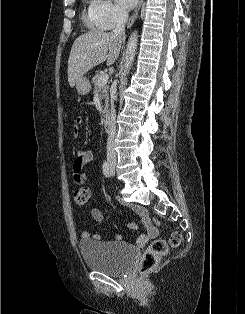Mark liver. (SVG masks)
<instances>
[{
	"mask_svg": "<svg viewBox=\"0 0 245 314\" xmlns=\"http://www.w3.org/2000/svg\"><path fill=\"white\" fill-rule=\"evenodd\" d=\"M121 42L112 32L90 31L73 43L68 59V82L73 87L90 69L107 60L112 65L119 56Z\"/></svg>",
	"mask_w": 245,
	"mask_h": 314,
	"instance_id": "6515ba94",
	"label": "liver"
}]
</instances>
